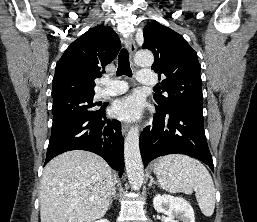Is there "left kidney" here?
<instances>
[{
    "label": "left kidney",
    "instance_id": "1",
    "mask_svg": "<svg viewBox=\"0 0 257 222\" xmlns=\"http://www.w3.org/2000/svg\"><path fill=\"white\" fill-rule=\"evenodd\" d=\"M153 206L157 212L167 215L170 222H195L193 208L182 197L158 194L153 198Z\"/></svg>",
    "mask_w": 257,
    "mask_h": 222
}]
</instances>
